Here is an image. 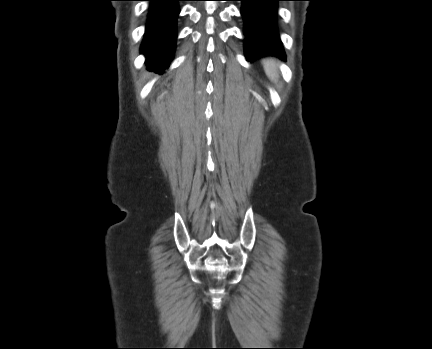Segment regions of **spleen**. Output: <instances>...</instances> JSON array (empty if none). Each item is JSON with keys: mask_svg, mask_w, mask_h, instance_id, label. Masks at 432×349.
Returning <instances> with one entry per match:
<instances>
[{"mask_svg": "<svg viewBox=\"0 0 432 349\" xmlns=\"http://www.w3.org/2000/svg\"><path fill=\"white\" fill-rule=\"evenodd\" d=\"M264 71L267 77L274 83L278 79V64L274 58H265L262 60Z\"/></svg>", "mask_w": 432, "mask_h": 349, "instance_id": "spleen-1", "label": "spleen"}]
</instances>
